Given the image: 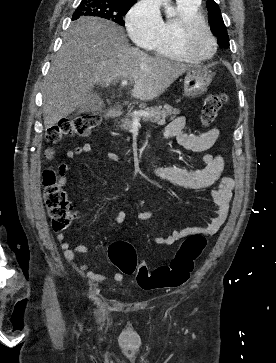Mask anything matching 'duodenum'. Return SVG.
Returning a JSON list of instances; mask_svg holds the SVG:
<instances>
[{
  "instance_id": "1",
  "label": "duodenum",
  "mask_w": 276,
  "mask_h": 363,
  "mask_svg": "<svg viewBox=\"0 0 276 363\" xmlns=\"http://www.w3.org/2000/svg\"><path fill=\"white\" fill-rule=\"evenodd\" d=\"M121 114H122V112L120 111V109H118L116 107H110L106 111V116L108 118H116V117H119Z\"/></svg>"
}]
</instances>
